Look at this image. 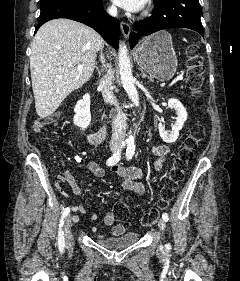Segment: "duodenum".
<instances>
[{
	"label": "duodenum",
	"instance_id": "410a0bca",
	"mask_svg": "<svg viewBox=\"0 0 240 281\" xmlns=\"http://www.w3.org/2000/svg\"><path fill=\"white\" fill-rule=\"evenodd\" d=\"M106 136V128H100L98 130H94L92 128V124L89 127L87 132V138L91 143H99L101 142Z\"/></svg>",
	"mask_w": 240,
	"mask_h": 281
}]
</instances>
